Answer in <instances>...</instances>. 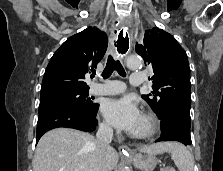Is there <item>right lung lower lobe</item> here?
<instances>
[{
  "instance_id": "1",
  "label": "right lung lower lobe",
  "mask_w": 223,
  "mask_h": 171,
  "mask_svg": "<svg viewBox=\"0 0 223 171\" xmlns=\"http://www.w3.org/2000/svg\"><path fill=\"white\" fill-rule=\"evenodd\" d=\"M97 110L98 108L94 112H88L75 106L62 105L39 112L36 142L45 132L59 127L74 128L85 132L94 131L98 124Z\"/></svg>"
}]
</instances>
